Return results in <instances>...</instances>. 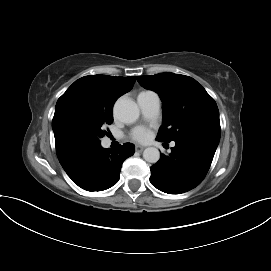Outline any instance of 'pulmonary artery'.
Masks as SVG:
<instances>
[{
    "instance_id": "obj_1",
    "label": "pulmonary artery",
    "mask_w": 271,
    "mask_h": 271,
    "mask_svg": "<svg viewBox=\"0 0 271 271\" xmlns=\"http://www.w3.org/2000/svg\"><path fill=\"white\" fill-rule=\"evenodd\" d=\"M137 102L145 118L152 119L157 116L160 110V99L155 92H141L137 97Z\"/></svg>"
}]
</instances>
